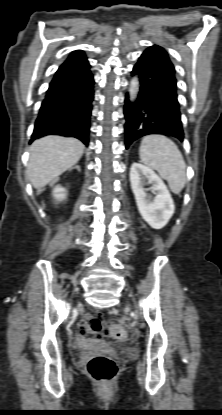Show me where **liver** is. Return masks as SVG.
I'll use <instances>...</instances> for the list:
<instances>
[{"label": "liver", "mask_w": 222, "mask_h": 415, "mask_svg": "<svg viewBox=\"0 0 222 415\" xmlns=\"http://www.w3.org/2000/svg\"><path fill=\"white\" fill-rule=\"evenodd\" d=\"M84 144L75 138L46 136L30 146L27 176L36 189L45 187L74 166L84 152Z\"/></svg>", "instance_id": "obj_1"}]
</instances>
